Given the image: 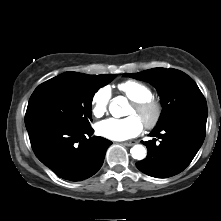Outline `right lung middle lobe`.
<instances>
[{"label":"right lung middle lobe","instance_id":"1","mask_svg":"<svg viewBox=\"0 0 221 221\" xmlns=\"http://www.w3.org/2000/svg\"><path fill=\"white\" fill-rule=\"evenodd\" d=\"M116 76L66 72L49 79L31 95L25 125L43 120L59 122L79 130L90 129L93 96Z\"/></svg>","mask_w":221,"mask_h":221}]
</instances>
